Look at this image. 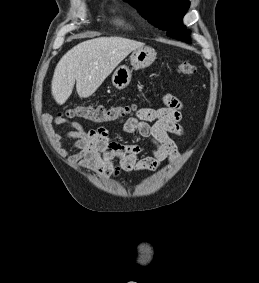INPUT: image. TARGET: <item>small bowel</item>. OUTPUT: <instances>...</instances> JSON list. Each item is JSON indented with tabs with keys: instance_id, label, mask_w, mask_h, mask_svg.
<instances>
[{
	"instance_id": "small-bowel-1",
	"label": "small bowel",
	"mask_w": 259,
	"mask_h": 283,
	"mask_svg": "<svg viewBox=\"0 0 259 283\" xmlns=\"http://www.w3.org/2000/svg\"><path fill=\"white\" fill-rule=\"evenodd\" d=\"M162 102L163 107L141 108L135 116L122 121L125 134L139 133L151 141L149 155L145 157H140L146 150L144 147L111 140L106 127L87 130L77 122L55 117L52 124L68 127L64 138L71 140L70 149L78 150L68 155L67 162L105 177H117L133 171H152L162 163L175 161L179 152L170 135L183 133L182 103L171 94H165ZM66 152L64 148L63 153Z\"/></svg>"
}]
</instances>
